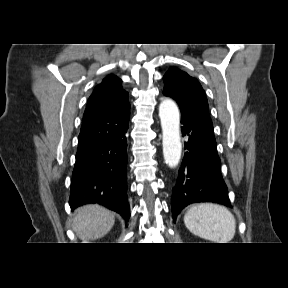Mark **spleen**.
I'll return each instance as SVG.
<instances>
[{
    "label": "spleen",
    "mask_w": 288,
    "mask_h": 288,
    "mask_svg": "<svg viewBox=\"0 0 288 288\" xmlns=\"http://www.w3.org/2000/svg\"><path fill=\"white\" fill-rule=\"evenodd\" d=\"M184 223L191 233L214 243H228L236 230L234 215L226 207L212 203L192 206L184 215Z\"/></svg>",
    "instance_id": "1"
}]
</instances>
